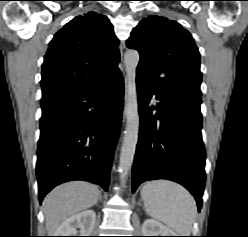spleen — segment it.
Returning <instances> with one entry per match:
<instances>
[{"label":"spleen","instance_id":"spleen-1","mask_svg":"<svg viewBox=\"0 0 248 237\" xmlns=\"http://www.w3.org/2000/svg\"><path fill=\"white\" fill-rule=\"evenodd\" d=\"M146 213L174 230L179 236H189L197 207L191 194L179 184L167 180H152L141 189Z\"/></svg>","mask_w":248,"mask_h":237}]
</instances>
